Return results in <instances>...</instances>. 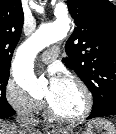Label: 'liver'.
Returning a JSON list of instances; mask_svg holds the SVG:
<instances>
[{"mask_svg":"<svg viewBox=\"0 0 116 134\" xmlns=\"http://www.w3.org/2000/svg\"><path fill=\"white\" fill-rule=\"evenodd\" d=\"M0 134H20V133L15 125L0 121Z\"/></svg>","mask_w":116,"mask_h":134,"instance_id":"1","label":"liver"}]
</instances>
